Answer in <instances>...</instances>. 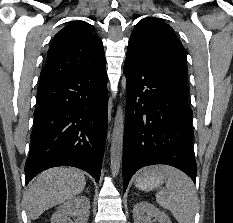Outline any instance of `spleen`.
Segmentation results:
<instances>
[{
    "label": "spleen",
    "instance_id": "spleen-1",
    "mask_svg": "<svg viewBox=\"0 0 233 223\" xmlns=\"http://www.w3.org/2000/svg\"><path fill=\"white\" fill-rule=\"evenodd\" d=\"M166 173L168 175L166 181L168 191H163V189L157 191V203L164 209H170L179 223H194L198 195L192 179L175 167H167Z\"/></svg>",
    "mask_w": 233,
    "mask_h": 223
}]
</instances>
